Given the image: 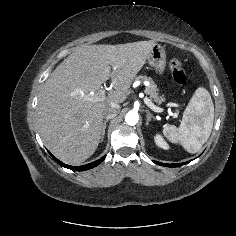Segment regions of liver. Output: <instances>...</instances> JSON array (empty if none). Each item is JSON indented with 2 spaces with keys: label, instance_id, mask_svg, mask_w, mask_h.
<instances>
[{
  "label": "liver",
  "instance_id": "liver-1",
  "mask_svg": "<svg viewBox=\"0 0 236 236\" xmlns=\"http://www.w3.org/2000/svg\"><path fill=\"white\" fill-rule=\"evenodd\" d=\"M155 44L81 45L55 68L37 104L39 132L52 154L68 164L93 155L101 140L104 108L126 100ZM110 78L114 90L96 101L100 86Z\"/></svg>",
  "mask_w": 236,
  "mask_h": 236
}]
</instances>
